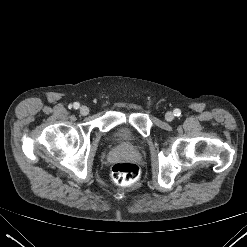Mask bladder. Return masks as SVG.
Wrapping results in <instances>:
<instances>
[{
  "instance_id": "31cf9c89",
  "label": "bladder",
  "mask_w": 247,
  "mask_h": 247,
  "mask_svg": "<svg viewBox=\"0 0 247 247\" xmlns=\"http://www.w3.org/2000/svg\"><path fill=\"white\" fill-rule=\"evenodd\" d=\"M114 140L120 143H129L130 136H129L128 131L124 128L117 130L114 134Z\"/></svg>"
}]
</instances>
